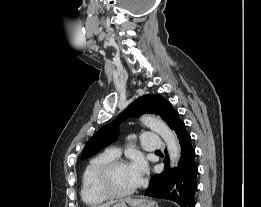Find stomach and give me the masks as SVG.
<instances>
[{
	"label": "stomach",
	"mask_w": 261,
	"mask_h": 207,
	"mask_svg": "<svg viewBox=\"0 0 261 207\" xmlns=\"http://www.w3.org/2000/svg\"><path fill=\"white\" fill-rule=\"evenodd\" d=\"M111 207H159L158 204L147 198H126L121 200Z\"/></svg>",
	"instance_id": "1"
}]
</instances>
